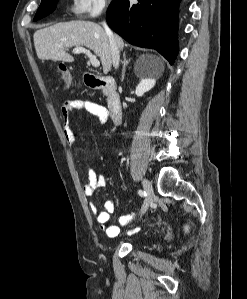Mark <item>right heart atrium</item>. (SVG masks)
<instances>
[{"mask_svg":"<svg viewBox=\"0 0 247 299\" xmlns=\"http://www.w3.org/2000/svg\"><path fill=\"white\" fill-rule=\"evenodd\" d=\"M106 7V0H72L70 10L76 16H95Z\"/></svg>","mask_w":247,"mask_h":299,"instance_id":"1","label":"right heart atrium"}]
</instances>
